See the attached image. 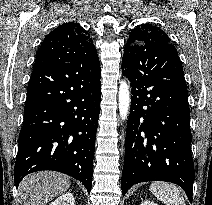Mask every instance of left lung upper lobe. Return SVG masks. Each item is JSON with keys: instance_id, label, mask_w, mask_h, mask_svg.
Returning a JSON list of instances; mask_svg holds the SVG:
<instances>
[{"instance_id": "obj_1", "label": "left lung upper lobe", "mask_w": 212, "mask_h": 205, "mask_svg": "<svg viewBox=\"0 0 212 205\" xmlns=\"http://www.w3.org/2000/svg\"><path fill=\"white\" fill-rule=\"evenodd\" d=\"M146 41H159V42H170L168 35L150 23L141 24L135 27L129 35V39L126 43L124 53L130 51V46L133 44H143Z\"/></svg>"}]
</instances>
